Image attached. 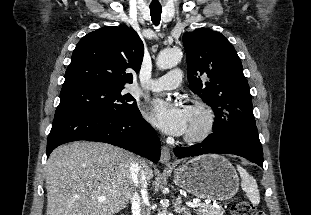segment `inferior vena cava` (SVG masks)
<instances>
[{
    "label": "inferior vena cava",
    "instance_id": "inferior-vena-cava-1",
    "mask_svg": "<svg viewBox=\"0 0 311 215\" xmlns=\"http://www.w3.org/2000/svg\"><path fill=\"white\" fill-rule=\"evenodd\" d=\"M130 176L133 185V194L131 197L133 215H150V210L143 201L147 197V180L140 161L135 160L131 163ZM136 188L140 189L142 198Z\"/></svg>",
    "mask_w": 311,
    "mask_h": 215
}]
</instances>
